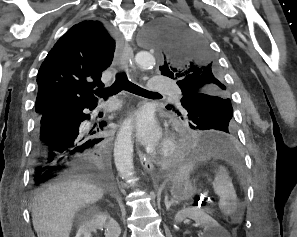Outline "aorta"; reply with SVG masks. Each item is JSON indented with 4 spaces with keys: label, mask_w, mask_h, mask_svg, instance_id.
I'll return each instance as SVG.
<instances>
[{
    "label": "aorta",
    "mask_w": 297,
    "mask_h": 237,
    "mask_svg": "<svg viewBox=\"0 0 297 237\" xmlns=\"http://www.w3.org/2000/svg\"><path fill=\"white\" fill-rule=\"evenodd\" d=\"M149 41L153 45L150 39ZM135 62L138 67L143 69L153 68L156 63L154 56L147 51L139 52L135 56ZM132 133V119L129 118L123 122L114 145V160L117 170L122 178L126 179H131L134 170Z\"/></svg>",
    "instance_id": "1"
}]
</instances>
